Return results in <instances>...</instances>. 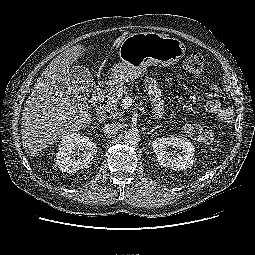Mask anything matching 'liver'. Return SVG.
<instances>
[{
	"label": "liver",
	"instance_id": "1",
	"mask_svg": "<svg viewBox=\"0 0 255 255\" xmlns=\"http://www.w3.org/2000/svg\"><path fill=\"white\" fill-rule=\"evenodd\" d=\"M77 44L55 57L37 79L21 119L24 150L35 156L44 148L90 125L86 99L72 86L70 66L84 55Z\"/></svg>",
	"mask_w": 255,
	"mask_h": 255
}]
</instances>
